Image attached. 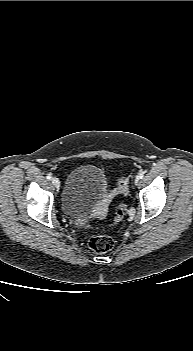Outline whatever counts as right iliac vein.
Masks as SVG:
<instances>
[{
    "label": "right iliac vein",
    "instance_id": "1",
    "mask_svg": "<svg viewBox=\"0 0 193 351\" xmlns=\"http://www.w3.org/2000/svg\"><path fill=\"white\" fill-rule=\"evenodd\" d=\"M51 181H52V184L55 186V187H59L60 186V181H59V179L57 178V177H53L52 179H51Z\"/></svg>",
    "mask_w": 193,
    "mask_h": 351
}]
</instances>
